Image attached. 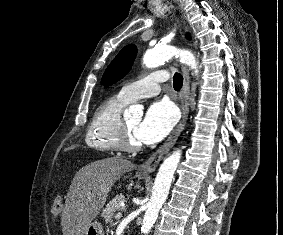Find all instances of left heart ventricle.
Wrapping results in <instances>:
<instances>
[{
    "instance_id": "1",
    "label": "left heart ventricle",
    "mask_w": 283,
    "mask_h": 235,
    "mask_svg": "<svg viewBox=\"0 0 283 235\" xmlns=\"http://www.w3.org/2000/svg\"><path fill=\"white\" fill-rule=\"evenodd\" d=\"M125 124H126V127L129 131V134H130L132 140L135 141V142H138L135 131H136V128L140 124V120H138V119L137 120H128V121H125Z\"/></svg>"
}]
</instances>
